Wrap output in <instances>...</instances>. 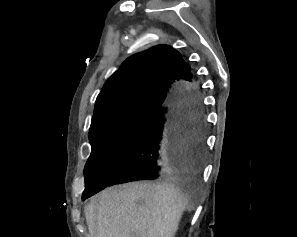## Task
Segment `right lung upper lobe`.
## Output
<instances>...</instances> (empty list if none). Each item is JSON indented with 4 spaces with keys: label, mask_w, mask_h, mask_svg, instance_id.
<instances>
[{
    "label": "right lung upper lobe",
    "mask_w": 297,
    "mask_h": 237,
    "mask_svg": "<svg viewBox=\"0 0 297 237\" xmlns=\"http://www.w3.org/2000/svg\"><path fill=\"white\" fill-rule=\"evenodd\" d=\"M193 80L190 66L170 46L159 45L134 54L103 86L90 128L117 116L152 113L169 102L174 88Z\"/></svg>",
    "instance_id": "right-lung-upper-lobe-1"
}]
</instances>
